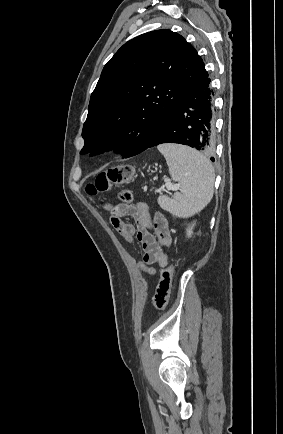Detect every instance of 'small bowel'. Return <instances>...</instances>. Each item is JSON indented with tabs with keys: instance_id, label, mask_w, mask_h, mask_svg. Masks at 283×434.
Segmentation results:
<instances>
[{
	"instance_id": "1",
	"label": "small bowel",
	"mask_w": 283,
	"mask_h": 434,
	"mask_svg": "<svg viewBox=\"0 0 283 434\" xmlns=\"http://www.w3.org/2000/svg\"><path fill=\"white\" fill-rule=\"evenodd\" d=\"M124 216H130L135 224L127 223ZM111 225L128 242L135 240L142 245L143 254L139 267L150 274L154 266L164 267L168 264L171 235L168 222L162 213L151 217L148 205L138 202L134 206L116 205L109 211Z\"/></svg>"
}]
</instances>
